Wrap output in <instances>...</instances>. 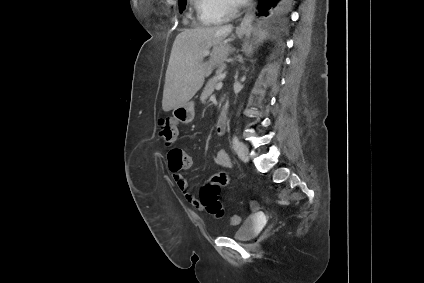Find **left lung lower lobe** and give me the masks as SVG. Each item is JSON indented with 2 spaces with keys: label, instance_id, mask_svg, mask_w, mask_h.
Wrapping results in <instances>:
<instances>
[{
  "label": "left lung lower lobe",
  "instance_id": "0a47b994",
  "mask_svg": "<svg viewBox=\"0 0 424 283\" xmlns=\"http://www.w3.org/2000/svg\"><path fill=\"white\" fill-rule=\"evenodd\" d=\"M294 0H262L259 5V13L262 16L268 15V10L272 7L276 11H285Z\"/></svg>",
  "mask_w": 424,
  "mask_h": 283
}]
</instances>
